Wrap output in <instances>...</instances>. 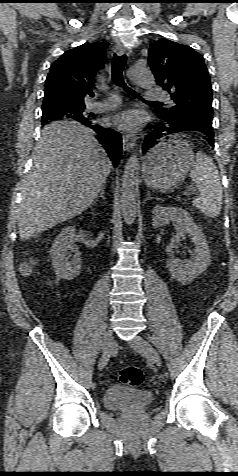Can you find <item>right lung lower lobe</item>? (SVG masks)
I'll list each match as a JSON object with an SVG mask.
<instances>
[{
    "label": "right lung lower lobe",
    "mask_w": 238,
    "mask_h": 476,
    "mask_svg": "<svg viewBox=\"0 0 238 476\" xmlns=\"http://www.w3.org/2000/svg\"><path fill=\"white\" fill-rule=\"evenodd\" d=\"M79 122L91 127L98 134L96 137L97 140L105 148L114 166H116L119 163L122 153V138L120 133L113 129L103 128L95 124L94 120L85 119Z\"/></svg>",
    "instance_id": "obj_1"
}]
</instances>
